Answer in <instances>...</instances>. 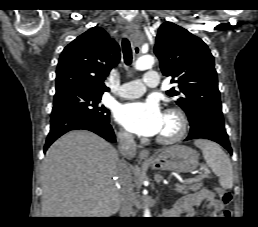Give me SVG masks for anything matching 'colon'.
<instances>
[{
	"label": "colon",
	"mask_w": 258,
	"mask_h": 227,
	"mask_svg": "<svg viewBox=\"0 0 258 227\" xmlns=\"http://www.w3.org/2000/svg\"><path fill=\"white\" fill-rule=\"evenodd\" d=\"M217 192L221 198L222 203L225 206H228L231 204L233 196L231 194V192H229L228 190L222 189V188H217ZM231 215L229 210H225L224 211V216L229 217Z\"/></svg>",
	"instance_id": "1"
}]
</instances>
